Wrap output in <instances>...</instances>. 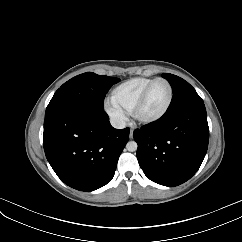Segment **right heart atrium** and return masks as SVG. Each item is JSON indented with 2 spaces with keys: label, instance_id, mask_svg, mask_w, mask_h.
<instances>
[{
  "label": "right heart atrium",
  "instance_id": "1",
  "mask_svg": "<svg viewBox=\"0 0 242 242\" xmlns=\"http://www.w3.org/2000/svg\"><path fill=\"white\" fill-rule=\"evenodd\" d=\"M105 109L109 116L117 123H123L127 118V114L118 107H116L113 103L106 101Z\"/></svg>",
  "mask_w": 242,
  "mask_h": 242
}]
</instances>
